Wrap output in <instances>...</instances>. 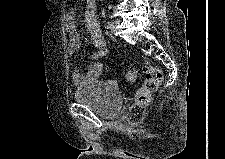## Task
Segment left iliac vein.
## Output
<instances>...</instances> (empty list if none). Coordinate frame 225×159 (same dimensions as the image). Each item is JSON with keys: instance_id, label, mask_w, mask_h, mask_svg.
I'll list each match as a JSON object with an SVG mask.
<instances>
[{"instance_id": "left-iliac-vein-1", "label": "left iliac vein", "mask_w": 225, "mask_h": 159, "mask_svg": "<svg viewBox=\"0 0 225 159\" xmlns=\"http://www.w3.org/2000/svg\"><path fill=\"white\" fill-rule=\"evenodd\" d=\"M119 23L118 20H115V21H112L111 22V25L108 27L109 30H111L112 32L114 31L115 29V26Z\"/></svg>"}]
</instances>
